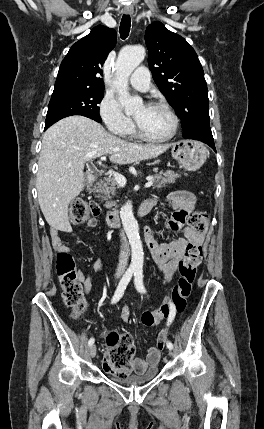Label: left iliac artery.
Masks as SVG:
<instances>
[{
    "label": "left iliac artery",
    "instance_id": "44dca946",
    "mask_svg": "<svg viewBox=\"0 0 264 429\" xmlns=\"http://www.w3.org/2000/svg\"><path fill=\"white\" fill-rule=\"evenodd\" d=\"M134 283H135L136 289L140 293H145L146 292L145 287L143 285V270L140 267L135 270V273H134ZM170 305H171V314H170V316L168 318L167 326H169L172 323V321L174 320V317H175V310H174L172 304H170ZM167 347L172 350L173 349V344L170 341H167Z\"/></svg>",
    "mask_w": 264,
    "mask_h": 429
}]
</instances>
